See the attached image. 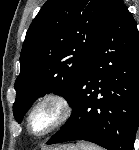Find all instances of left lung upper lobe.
<instances>
[{
  "instance_id": "5c2ea615",
  "label": "left lung upper lobe",
  "mask_w": 139,
  "mask_h": 150,
  "mask_svg": "<svg viewBox=\"0 0 139 150\" xmlns=\"http://www.w3.org/2000/svg\"><path fill=\"white\" fill-rule=\"evenodd\" d=\"M116 0H48L31 23L15 81V119L33 102L55 92L74 95Z\"/></svg>"
}]
</instances>
